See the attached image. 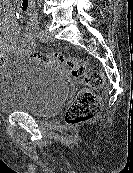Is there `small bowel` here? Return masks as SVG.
<instances>
[{"mask_svg":"<svg viewBox=\"0 0 133 173\" xmlns=\"http://www.w3.org/2000/svg\"><path fill=\"white\" fill-rule=\"evenodd\" d=\"M19 14H29L30 22L25 29L11 16H6L0 21V53L32 57L35 52V35L37 31V17L27 7L19 6Z\"/></svg>","mask_w":133,"mask_h":173,"instance_id":"small-bowel-1","label":"small bowel"}]
</instances>
